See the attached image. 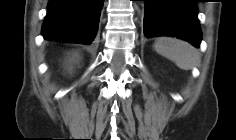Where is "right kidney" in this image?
Segmentation results:
<instances>
[{
	"label": "right kidney",
	"mask_w": 236,
	"mask_h": 140,
	"mask_svg": "<svg viewBox=\"0 0 236 140\" xmlns=\"http://www.w3.org/2000/svg\"><path fill=\"white\" fill-rule=\"evenodd\" d=\"M78 62V54H73V56L68 60L67 62V66H68V70L72 71L73 69V64Z\"/></svg>",
	"instance_id": "obj_1"
}]
</instances>
